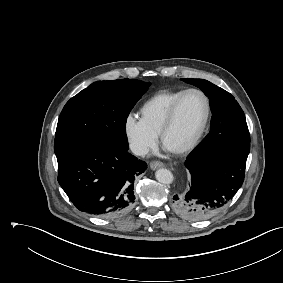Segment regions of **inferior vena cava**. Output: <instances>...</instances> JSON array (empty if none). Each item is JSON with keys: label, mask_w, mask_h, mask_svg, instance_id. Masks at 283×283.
Listing matches in <instances>:
<instances>
[{"label": "inferior vena cava", "mask_w": 283, "mask_h": 283, "mask_svg": "<svg viewBox=\"0 0 283 283\" xmlns=\"http://www.w3.org/2000/svg\"><path fill=\"white\" fill-rule=\"evenodd\" d=\"M131 151L135 155H140V156L148 153L147 147L140 145V144H132L131 145Z\"/></svg>", "instance_id": "1"}]
</instances>
